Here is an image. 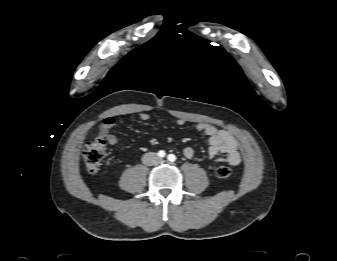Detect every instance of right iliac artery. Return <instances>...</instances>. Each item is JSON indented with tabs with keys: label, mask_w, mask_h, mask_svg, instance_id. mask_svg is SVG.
I'll use <instances>...</instances> for the list:
<instances>
[{
	"label": "right iliac artery",
	"mask_w": 337,
	"mask_h": 261,
	"mask_svg": "<svg viewBox=\"0 0 337 261\" xmlns=\"http://www.w3.org/2000/svg\"><path fill=\"white\" fill-rule=\"evenodd\" d=\"M166 155V153H165V151H163V150H160L159 152H158V156L159 157H164Z\"/></svg>",
	"instance_id": "82829eb1"
}]
</instances>
